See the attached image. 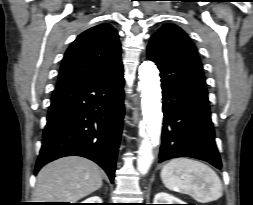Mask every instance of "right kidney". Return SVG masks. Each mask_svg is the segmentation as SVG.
I'll list each match as a JSON object with an SVG mask.
<instances>
[{
	"instance_id": "right-kidney-1",
	"label": "right kidney",
	"mask_w": 253,
	"mask_h": 205,
	"mask_svg": "<svg viewBox=\"0 0 253 205\" xmlns=\"http://www.w3.org/2000/svg\"><path fill=\"white\" fill-rule=\"evenodd\" d=\"M82 203H102V199L98 196H92L90 198H87Z\"/></svg>"
}]
</instances>
